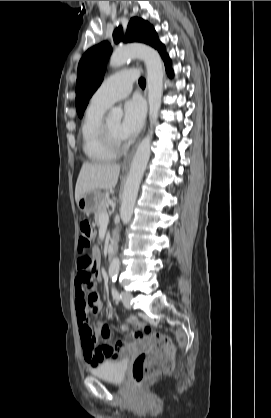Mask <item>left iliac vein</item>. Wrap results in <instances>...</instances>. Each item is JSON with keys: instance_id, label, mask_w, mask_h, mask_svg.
Listing matches in <instances>:
<instances>
[{"instance_id": "left-iliac-vein-1", "label": "left iliac vein", "mask_w": 271, "mask_h": 418, "mask_svg": "<svg viewBox=\"0 0 271 418\" xmlns=\"http://www.w3.org/2000/svg\"><path fill=\"white\" fill-rule=\"evenodd\" d=\"M132 298H133V295L130 292H128V291H123L122 292V302H123V304L126 308H131V303L130 302H131Z\"/></svg>"}]
</instances>
